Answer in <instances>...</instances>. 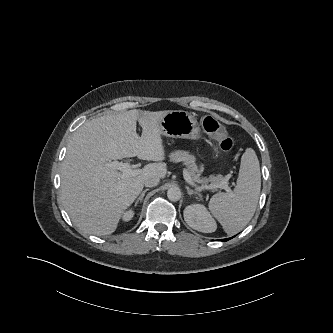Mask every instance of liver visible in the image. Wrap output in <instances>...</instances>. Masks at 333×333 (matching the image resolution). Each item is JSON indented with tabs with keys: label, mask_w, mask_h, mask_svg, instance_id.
Wrapping results in <instances>:
<instances>
[{
	"label": "liver",
	"mask_w": 333,
	"mask_h": 333,
	"mask_svg": "<svg viewBox=\"0 0 333 333\" xmlns=\"http://www.w3.org/2000/svg\"><path fill=\"white\" fill-rule=\"evenodd\" d=\"M170 112L129 110L85 122L68 143L61 170V197L72 222L97 236L112 234L124 211L150 177L164 179L167 166L160 122ZM142 127L141 137L136 122ZM137 156L155 161L136 176H124L107 162Z\"/></svg>",
	"instance_id": "1"
}]
</instances>
